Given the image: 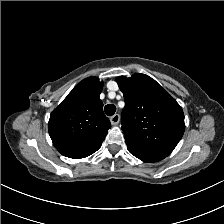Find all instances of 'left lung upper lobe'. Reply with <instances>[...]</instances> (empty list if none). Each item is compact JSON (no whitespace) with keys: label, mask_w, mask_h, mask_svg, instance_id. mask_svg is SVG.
I'll list each match as a JSON object with an SVG mask.
<instances>
[{"label":"left lung upper lobe","mask_w":224,"mask_h":224,"mask_svg":"<svg viewBox=\"0 0 224 224\" xmlns=\"http://www.w3.org/2000/svg\"><path fill=\"white\" fill-rule=\"evenodd\" d=\"M124 94L122 131L126 144L168 156L183 136V110L151 77L135 73L116 79Z\"/></svg>","instance_id":"left-lung-upper-lobe-1"}]
</instances>
